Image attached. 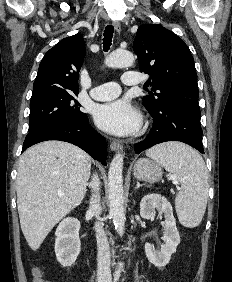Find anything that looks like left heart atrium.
I'll use <instances>...</instances> for the list:
<instances>
[{"label":"left heart atrium","mask_w":232,"mask_h":282,"mask_svg":"<svg viewBox=\"0 0 232 282\" xmlns=\"http://www.w3.org/2000/svg\"><path fill=\"white\" fill-rule=\"evenodd\" d=\"M94 117L99 128L116 135L129 134L140 124L139 113L124 99L97 106Z\"/></svg>","instance_id":"39dd6f15"}]
</instances>
